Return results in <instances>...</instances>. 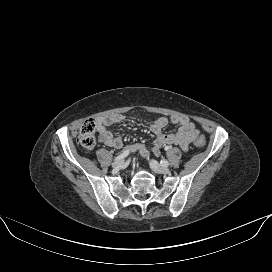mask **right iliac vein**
Masks as SVG:
<instances>
[{"label": "right iliac vein", "instance_id": "obj_1", "mask_svg": "<svg viewBox=\"0 0 272 272\" xmlns=\"http://www.w3.org/2000/svg\"><path fill=\"white\" fill-rule=\"evenodd\" d=\"M124 160L123 159H119V160H115L113 163H112V167L115 168V169H118L122 166Z\"/></svg>", "mask_w": 272, "mask_h": 272}]
</instances>
